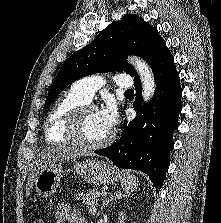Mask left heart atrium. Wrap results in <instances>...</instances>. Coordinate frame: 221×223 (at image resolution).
<instances>
[{
  "label": "left heart atrium",
  "instance_id": "1",
  "mask_svg": "<svg viewBox=\"0 0 221 223\" xmlns=\"http://www.w3.org/2000/svg\"><path fill=\"white\" fill-rule=\"evenodd\" d=\"M100 116L106 125V127L111 131L116 125L118 113L116 105L109 101L106 105L99 110Z\"/></svg>",
  "mask_w": 221,
  "mask_h": 223
}]
</instances>
